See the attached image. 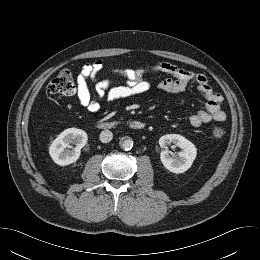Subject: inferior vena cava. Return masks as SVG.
I'll use <instances>...</instances> for the list:
<instances>
[{
    "instance_id": "inferior-vena-cava-1",
    "label": "inferior vena cava",
    "mask_w": 260,
    "mask_h": 260,
    "mask_svg": "<svg viewBox=\"0 0 260 260\" xmlns=\"http://www.w3.org/2000/svg\"><path fill=\"white\" fill-rule=\"evenodd\" d=\"M100 141L103 143H108L112 140L113 134L110 130H104L100 133Z\"/></svg>"
}]
</instances>
